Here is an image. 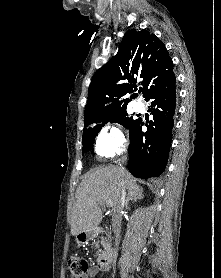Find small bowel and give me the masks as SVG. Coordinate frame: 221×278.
Masks as SVG:
<instances>
[{"mask_svg": "<svg viewBox=\"0 0 221 278\" xmlns=\"http://www.w3.org/2000/svg\"><path fill=\"white\" fill-rule=\"evenodd\" d=\"M99 271L100 269L98 267L92 266L86 278H94L99 273Z\"/></svg>", "mask_w": 221, "mask_h": 278, "instance_id": "obj_1", "label": "small bowel"}]
</instances>
